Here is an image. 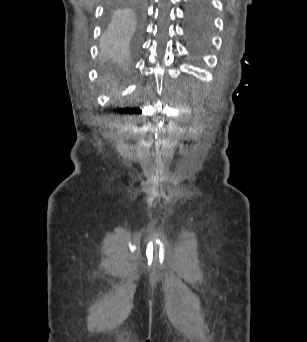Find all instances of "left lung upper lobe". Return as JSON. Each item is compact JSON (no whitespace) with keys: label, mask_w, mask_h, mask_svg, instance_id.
I'll list each match as a JSON object with an SVG mask.
<instances>
[{"label":"left lung upper lobe","mask_w":307,"mask_h":342,"mask_svg":"<svg viewBox=\"0 0 307 342\" xmlns=\"http://www.w3.org/2000/svg\"><path fill=\"white\" fill-rule=\"evenodd\" d=\"M187 19L190 38L199 44L208 41L211 26V16L206 0H191Z\"/></svg>","instance_id":"obj_1"}]
</instances>
